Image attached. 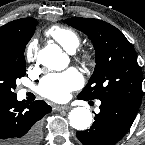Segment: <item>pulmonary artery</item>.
<instances>
[{
  "mask_svg": "<svg viewBox=\"0 0 145 145\" xmlns=\"http://www.w3.org/2000/svg\"><path fill=\"white\" fill-rule=\"evenodd\" d=\"M72 52H73V51H72ZM22 93L24 94V93H25V91L23 90V91H22Z\"/></svg>",
  "mask_w": 145,
  "mask_h": 145,
  "instance_id": "obj_1",
  "label": "pulmonary artery"
}]
</instances>
